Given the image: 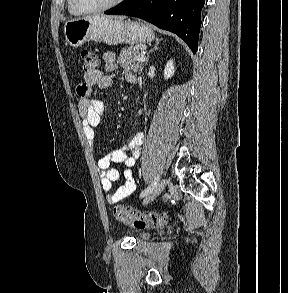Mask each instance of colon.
Returning a JSON list of instances; mask_svg holds the SVG:
<instances>
[{
  "label": "colon",
  "mask_w": 288,
  "mask_h": 293,
  "mask_svg": "<svg viewBox=\"0 0 288 293\" xmlns=\"http://www.w3.org/2000/svg\"><path fill=\"white\" fill-rule=\"evenodd\" d=\"M81 60L84 73H92L99 64L96 54L83 50ZM114 218L120 222L132 225L136 228L159 227L167 221V216L156 213H140L124 205H115L112 208Z\"/></svg>",
  "instance_id": "colon-1"
}]
</instances>
